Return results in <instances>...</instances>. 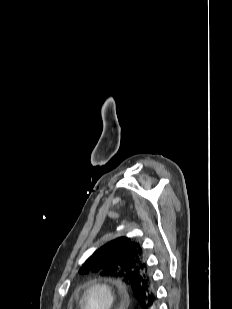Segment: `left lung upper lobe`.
Instances as JSON below:
<instances>
[{
  "mask_svg": "<svg viewBox=\"0 0 232 309\" xmlns=\"http://www.w3.org/2000/svg\"><path fill=\"white\" fill-rule=\"evenodd\" d=\"M79 273L121 279L138 303L147 300L155 291L140 244L127 237L117 238L98 248Z\"/></svg>",
  "mask_w": 232,
  "mask_h": 309,
  "instance_id": "1",
  "label": "left lung upper lobe"
}]
</instances>
